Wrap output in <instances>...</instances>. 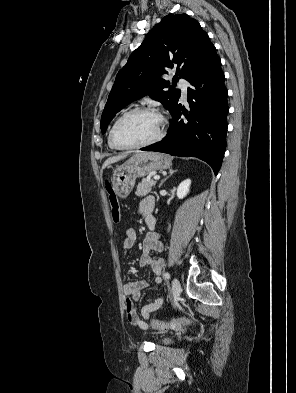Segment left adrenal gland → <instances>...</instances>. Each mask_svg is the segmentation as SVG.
<instances>
[{
  "mask_svg": "<svg viewBox=\"0 0 296 393\" xmlns=\"http://www.w3.org/2000/svg\"><path fill=\"white\" fill-rule=\"evenodd\" d=\"M177 170H170L169 171V176H167L166 178H164L162 181H161V183L159 184V188H161V186L163 185V183L167 180V179H169V177H171L175 172H176Z\"/></svg>",
  "mask_w": 296,
  "mask_h": 393,
  "instance_id": "a2214340",
  "label": "left adrenal gland"
}]
</instances>
